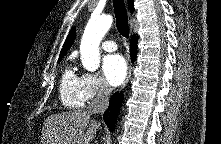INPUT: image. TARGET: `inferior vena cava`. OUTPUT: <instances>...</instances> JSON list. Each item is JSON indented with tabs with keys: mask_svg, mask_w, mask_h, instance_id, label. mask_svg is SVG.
Wrapping results in <instances>:
<instances>
[{
	"mask_svg": "<svg viewBox=\"0 0 221 144\" xmlns=\"http://www.w3.org/2000/svg\"><path fill=\"white\" fill-rule=\"evenodd\" d=\"M112 89L107 85L103 84L99 87L96 97L89 104L87 111L91 114H103L109 105V98Z\"/></svg>",
	"mask_w": 221,
	"mask_h": 144,
	"instance_id": "inferior-vena-cava-1",
	"label": "inferior vena cava"
}]
</instances>
